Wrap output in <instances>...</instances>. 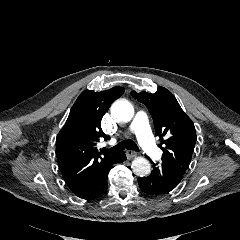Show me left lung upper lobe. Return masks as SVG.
Returning <instances> with one entry per match:
<instances>
[{"mask_svg": "<svg viewBox=\"0 0 240 240\" xmlns=\"http://www.w3.org/2000/svg\"><path fill=\"white\" fill-rule=\"evenodd\" d=\"M132 96L145 104L153 118L156 135L160 136L162 164L184 176L191 161L196 142L193 122L180 107L173 94L164 87L155 93L135 91Z\"/></svg>", "mask_w": 240, "mask_h": 240, "instance_id": "1", "label": "left lung upper lobe"}]
</instances>
